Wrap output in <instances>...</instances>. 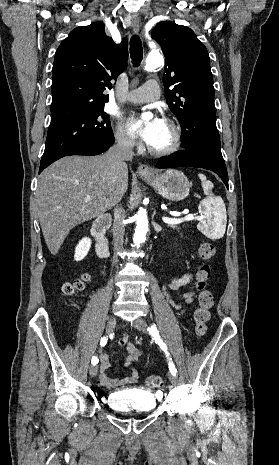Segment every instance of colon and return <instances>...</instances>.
Masks as SVG:
<instances>
[{
  "instance_id": "colon-1",
  "label": "colon",
  "mask_w": 279,
  "mask_h": 465,
  "mask_svg": "<svg viewBox=\"0 0 279 465\" xmlns=\"http://www.w3.org/2000/svg\"><path fill=\"white\" fill-rule=\"evenodd\" d=\"M200 257L206 261L203 263L196 274V290L198 292V307L194 312L196 322L195 331L198 336H204L207 332V322L210 318V309L213 306V295L211 291L206 289V282L211 275V267L207 263L215 254V247L209 241H203L198 247ZM89 276L82 274L74 281L66 282L62 286V292L67 296H72L83 290ZM164 384L162 377L158 375H150L146 378V385L149 388L157 389Z\"/></svg>"
}]
</instances>
